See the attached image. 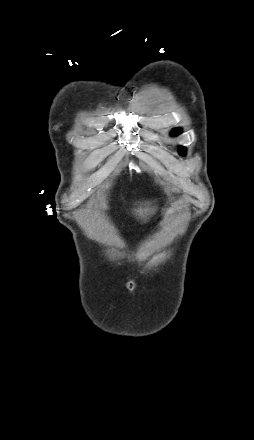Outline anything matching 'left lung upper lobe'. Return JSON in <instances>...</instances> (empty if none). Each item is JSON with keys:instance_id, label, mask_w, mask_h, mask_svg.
Segmentation results:
<instances>
[{"instance_id": "1", "label": "left lung upper lobe", "mask_w": 254, "mask_h": 440, "mask_svg": "<svg viewBox=\"0 0 254 440\" xmlns=\"http://www.w3.org/2000/svg\"><path fill=\"white\" fill-rule=\"evenodd\" d=\"M181 132V129H174V130H172V132H171V134L172 135H178L179 133ZM185 148L184 147H179V152L182 154V155H184L185 154Z\"/></svg>"}]
</instances>
